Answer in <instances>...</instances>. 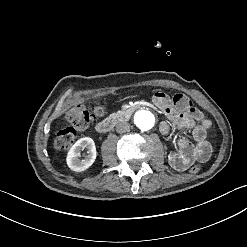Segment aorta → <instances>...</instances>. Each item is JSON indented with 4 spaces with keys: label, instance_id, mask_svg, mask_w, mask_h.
Here are the masks:
<instances>
[{
    "label": "aorta",
    "instance_id": "762f6f07",
    "mask_svg": "<svg viewBox=\"0 0 247 247\" xmlns=\"http://www.w3.org/2000/svg\"><path fill=\"white\" fill-rule=\"evenodd\" d=\"M154 116L149 111H139L135 115V122L142 131L150 130L154 126Z\"/></svg>",
    "mask_w": 247,
    "mask_h": 247
}]
</instances>
